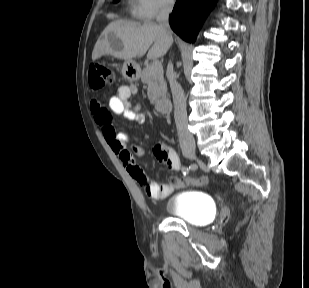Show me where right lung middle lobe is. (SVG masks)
I'll list each match as a JSON object with an SVG mask.
<instances>
[{
	"mask_svg": "<svg viewBox=\"0 0 309 288\" xmlns=\"http://www.w3.org/2000/svg\"><path fill=\"white\" fill-rule=\"evenodd\" d=\"M114 1V3H117L119 0H113Z\"/></svg>",
	"mask_w": 309,
	"mask_h": 288,
	"instance_id": "obj_1",
	"label": "right lung middle lobe"
}]
</instances>
